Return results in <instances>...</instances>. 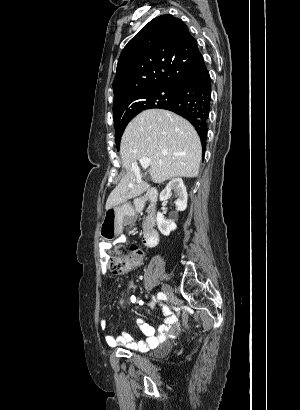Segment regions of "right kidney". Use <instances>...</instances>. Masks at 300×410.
I'll list each match as a JSON object with an SVG mask.
<instances>
[{
	"label": "right kidney",
	"mask_w": 300,
	"mask_h": 410,
	"mask_svg": "<svg viewBox=\"0 0 300 410\" xmlns=\"http://www.w3.org/2000/svg\"><path fill=\"white\" fill-rule=\"evenodd\" d=\"M172 192L177 196L175 204L178 211H184L187 207V191L186 187L181 178H174L165 187L164 190L160 193V201H165L171 197ZM157 226L161 234L168 236L171 231L176 229V224L173 220H166L164 215L161 212L157 213L156 217Z\"/></svg>",
	"instance_id": "1"
}]
</instances>
